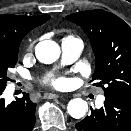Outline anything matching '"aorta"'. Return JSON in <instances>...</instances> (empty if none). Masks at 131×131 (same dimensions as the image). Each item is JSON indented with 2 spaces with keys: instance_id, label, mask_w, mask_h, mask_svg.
<instances>
[{
  "instance_id": "obj_1",
  "label": "aorta",
  "mask_w": 131,
  "mask_h": 131,
  "mask_svg": "<svg viewBox=\"0 0 131 131\" xmlns=\"http://www.w3.org/2000/svg\"><path fill=\"white\" fill-rule=\"evenodd\" d=\"M35 52L36 57L40 62L50 64L59 58L60 48L56 42L45 40L37 44ZM67 110L71 117L80 119L86 114L88 110V104L81 98H75L70 100Z\"/></svg>"
}]
</instances>
